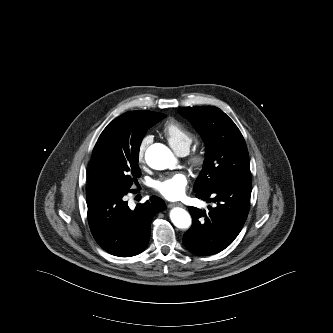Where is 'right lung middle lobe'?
Wrapping results in <instances>:
<instances>
[{
	"instance_id": "dd1d6c3e",
	"label": "right lung middle lobe",
	"mask_w": 333,
	"mask_h": 333,
	"mask_svg": "<svg viewBox=\"0 0 333 333\" xmlns=\"http://www.w3.org/2000/svg\"><path fill=\"white\" fill-rule=\"evenodd\" d=\"M153 112L129 130L105 128L92 153L89 188L127 191L141 176L138 166L141 141L148 128L165 118Z\"/></svg>"
}]
</instances>
